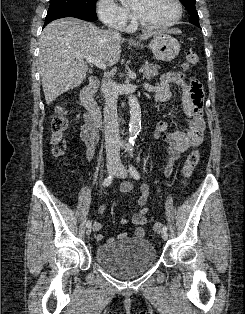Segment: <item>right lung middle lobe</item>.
<instances>
[{
    "instance_id": "dd1d6c3e",
    "label": "right lung middle lobe",
    "mask_w": 245,
    "mask_h": 314,
    "mask_svg": "<svg viewBox=\"0 0 245 314\" xmlns=\"http://www.w3.org/2000/svg\"><path fill=\"white\" fill-rule=\"evenodd\" d=\"M97 0H50L48 12L59 10H78L96 14Z\"/></svg>"
}]
</instances>
